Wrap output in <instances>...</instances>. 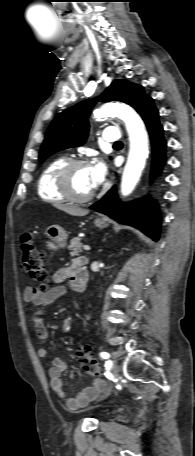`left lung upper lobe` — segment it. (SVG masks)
Masks as SVG:
<instances>
[{"mask_svg":"<svg viewBox=\"0 0 195 456\" xmlns=\"http://www.w3.org/2000/svg\"><path fill=\"white\" fill-rule=\"evenodd\" d=\"M143 87L126 80H114L101 95L104 102L121 101L136 110L148 99ZM96 100L83 101L58 114L50 124L42 144L39 160L60 150L82 145L88 136V115Z\"/></svg>","mask_w":195,"mask_h":456,"instance_id":"1","label":"left lung upper lobe"}]
</instances>
